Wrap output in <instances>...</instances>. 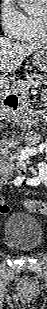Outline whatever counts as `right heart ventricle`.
Instances as JSON below:
<instances>
[{
  "instance_id": "obj_1",
  "label": "right heart ventricle",
  "mask_w": 47,
  "mask_h": 309,
  "mask_svg": "<svg viewBox=\"0 0 47 309\" xmlns=\"http://www.w3.org/2000/svg\"><path fill=\"white\" fill-rule=\"evenodd\" d=\"M18 39L22 42L33 45H39L46 41V36L43 33L39 15H24V28Z\"/></svg>"
}]
</instances>
